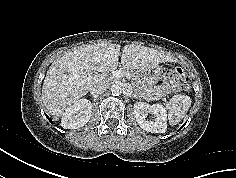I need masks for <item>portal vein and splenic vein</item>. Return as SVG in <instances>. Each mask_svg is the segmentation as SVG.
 <instances>
[{"label":"portal vein and splenic vein","mask_w":236,"mask_h":178,"mask_svg":"<svg viewBox=\"0 0 236 178\" xmlns=\"http://www.w3.org/2000/svg\"><path fill=\"white\" fill-rule=\"evenodd\" d=\"M113 76L116 77V78H122V77H127L128 79H130V75L128 73H124L123 71H113Z\"/></svg>","instance_id":"obj_1"}]
</instances>
